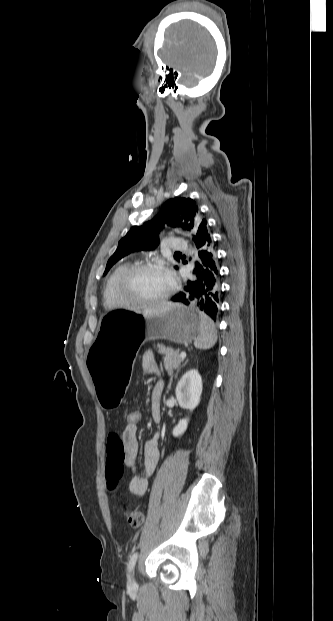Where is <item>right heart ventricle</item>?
I'll return each instance as SVG.
<instances>
[{"label":"right heart ventricle","instance_id":"1","mask_svg":"<svg viewBox=\"0 0 333 621\" xmlns=\"http://www.w3.org/2000/svg\"><path fill=\"white\" fill-rule=\"evenodd\" d=\"M129 267L127 263H122L115 267L108 276L102 294L103 304L107 308L122 305L117 295L116 283L121 274Z\"/></svg>","mask_w":333,"mask_h":621}]
</instances>
